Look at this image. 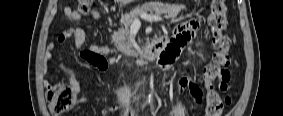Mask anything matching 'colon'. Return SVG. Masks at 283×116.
I'll return each instance as SVG.
<instances>
[{"label":"colon","mask_w":283,"mask_h":116,"mask_svg":"<svg viewBox=\"0 0 283 116\" xmlns=\"http://www.w3.org/2000/svg\"><path fill=\"white\" fill-rule=\"evenodd\" d=\"M79 11L87 13L91 9V0H79ZM208 23L212 32L214 54L212 61L203 71V80L206 90V114L208 116H220L230 98H222L220 91L227 89L231 75L228 71L230 65L229 49L230 37L225 34L228 26L227 7L224 0H212ZM218 83V85H217ZM75 94L66 83H55L49 86L47 102L50 111L54 115H62L68 112L75 103Z\"/></svg>","instance_id":"obj_1"}]
</instances>
